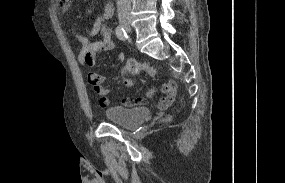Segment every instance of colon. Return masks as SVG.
Returning <instances> with one entry per match:
<instances>
[{
	"instance_id": "obj_1",
	"label": "colon",
	"mask_w": 285,
	"mask_h": 183,
	"mask_svg": "<svg viewBox=\"0 0 285 183\" xmlns=\"http://www.w3.org/2000/svg\"><path fill=\"white\" fill-rule=\"evenodd\" d=\"M63 1V0H62ZM141 72H145L149 76H155L156 71L153 67L149 66L145 63H140L135 60H129L121 70L122 73V83L125 86H131L133 84V81L131 79V76L137 75ZM134 103L133 99H130L127 101V104L131 105Z\"/></svg>"
}]
</instances>
